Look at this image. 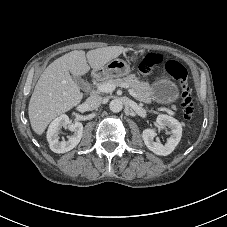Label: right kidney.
Wrapping results in <instances>:
<instances>
[{"instance_id": "1", "label": "right kidney", "mask_w": 227, "mask_h": 227, "mask_svg": "<svg viewBox=\"0 0 227 227\" xmlns=\"http://www.w3.org/2000/svg\"><path fill=\"white\" fill-rule=\"evenodd\" d=\"M64 127L65 129H69L74 132L72 136L68 137V140L59 141V131ZM83 133V125L80 122H72L69 117L65 114L57 117L53 122L49 125L47 130V141L49 142L50 149L55 153H65L72 150L76 147Z\"/></svg>"}]
</instances>
